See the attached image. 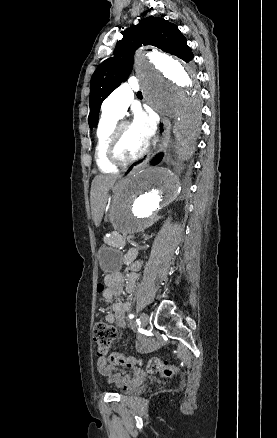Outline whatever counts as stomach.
<instances>
[{"instance_id": "1", "label": "stomach", "mask_w": 277, "mask_h": 438, "mask_svg": "<svg viewBox=\"0 0 277 438\" xmlns=\"http://www.w3.org/2000/svg\"><path fill=\"white\" fill-rule=\"evenodd\" d=\"M98 260L105 273L116 272L121 267V253L111 247H101L98 251Z\"/></svg>"}]
</instances>
